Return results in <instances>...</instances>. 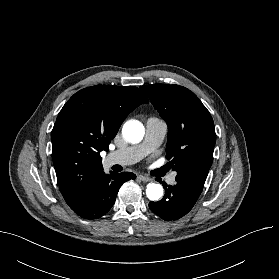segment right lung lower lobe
Here are the masks:
<instances>
[{"instance_id": "98d812e1", "label": "right lung lower lobe", "mask_w": 279, "mask_h": 279, "mask_svg": "<svg viewBox=\"0 0 279 279\" xmlns=\"http://www.w3.org/2000/svg\"><path fill=\"white\" fill-rule=\"evenodd\" d=\"M136 176L130 172L105 174L101 172L92 182L80 203L71 208L84 219H97L106 214L114 205L121 185Z\"/></svg>"}]
</instances>
